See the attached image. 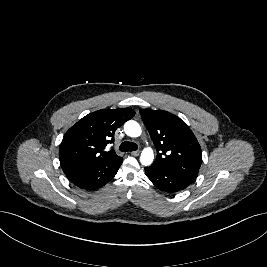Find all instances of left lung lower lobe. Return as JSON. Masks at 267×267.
Here are the masks:
<instances>
[{
	"instance_id": "left-lung-lower-lobe-1",
	"label": "left lung lower lobe",
	"mask_w": 267,
	"mask_h": 267,
	"mask_svg": "<svg viewBox=\"0 0 267 267\" xmlns=\"http://www.w3.org/2000/svg\"><path fill=\"white\" fill-rule=\"evenodd\" d=\"M145 173L158 189L168 193L181 191L195 180L191 177L162 169L153 164L145 167Z\"/></svg>"
}]
</instances>
